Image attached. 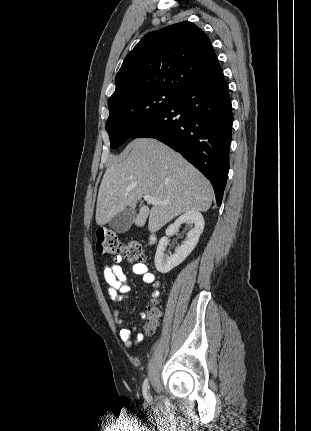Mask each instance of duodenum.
I'll return each instance as SVG.
<instances>
[{"label":"duodenum","mask_w":311,"mask_h":431,"mask_svg":"<svg viewBox=\"0 0 311 431\" xmlns=\"http://www.w3.org/2000/svg\"><path fill=\"white\" fill-rule=\"evenodd\" d=\"M155 240H156L155 235H154V234H151V235H150V237H149V242H150V244H153V243L155 242Z\"/></svg>","instance_id":"obj_1"}]
</instances>
